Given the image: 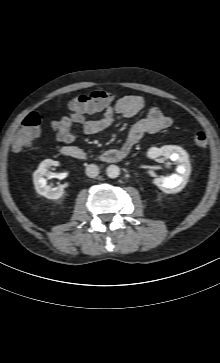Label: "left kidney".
I'll return each mask as SVG.
<instances>
[{
    "label": "left kidney",
    "mask_w": 220,
    "mask_h": 363,
    "mask_svg": "<svg viewBox=\"0 0 220 363\" xmlns=\"http://www.w3.org/2000/svg\"><path fill=\"white\" fill-rule=\"evenodd\" d=\"M148 157L156 158L164 156L177 164L175 173L170 176H160L153 180V183L163 192L177 193L181 191L189 178L191 166L187 153L178 146H163L161 148H151Z\"/></svg>",
    "instance_id": "obj_1"
}]
</instances>
